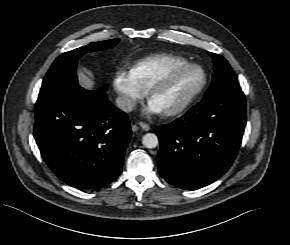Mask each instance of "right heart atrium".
Here are the masks:
<instances>
[{
	"instance_id": "d8ad5b80",
	"label": "right heart atrium",
	"mask_w": 290,
	"mask_h": 245,
	"mask_svg": "<svg viewBox=\"0 0 290 245\" xmlns=\"http://www.w3.org/2000/svg\"><path fill=\"white\" fill-rule=\"evenodd\" d=\"M113 87L118 96L119 107L125 112L132 111L146 93L136 82L131 70L123 68L116 71Z\"/></svg>"
}]
</instances>
